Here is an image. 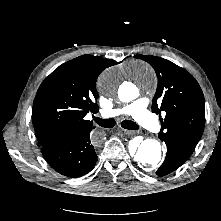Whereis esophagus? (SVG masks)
Wrapping results in <instances>:
<instances>
[{
  "label": "esophagus",
  "mask_w": 221,
  "mask_h": 221,
  "mask_svg": "<svg viewBox=\"0 0 221 221\" xmlns=\"http://www.w3.org/2000/svg\"><path fill=\"white\" fill-rule=\"evenodd\" d=\"M120 130L125 134V135H131L133 132L130 131V130H126V129H123V128H120Z\"/></svg>",
  "instance_id": "34e87169"
}]
</instances>
